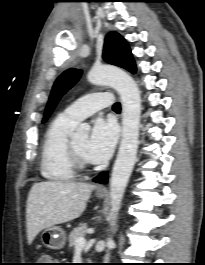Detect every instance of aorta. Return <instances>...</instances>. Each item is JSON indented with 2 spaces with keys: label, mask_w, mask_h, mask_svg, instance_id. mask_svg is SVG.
Segmentation results:
<instances>
[{
  "label": "aorta",
  "mask_w": 205,
  "mask_h": 265,
  "mask_svg": "<svg viewBox=\"0 0 205 265\" xmlns=\"http://www.w3.org/2000/svg\"><path fill=\"white\" fill-rule=\"evenodd\" d=\"M88 80L95 85H110L120 95L122 103V138L117 158L110 179L111 218L116 219L121 201L136 162L140 115L141 96L137 83L123 70L113 66H94L88 73ZM90 126L81 124L77 135L86 136ZM107 254L104 263L110 259L109 250L114 245L111 237L107 239Z\"/></svg>",
  "instance_id": "obj_1"
}]
</instances>
